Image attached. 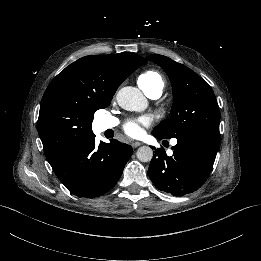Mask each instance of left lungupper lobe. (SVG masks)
<instances>
[{
	"label": "left lung upper lobe",
	"mask_w": 261,
	"mask_h": 261,
	"mask_svg": "<svg viewBox=\"0 0 261 261\" xmlns=\"http://www.w3.org/2000/svg\"><path fill=\"white\" fill-rule=\"evenodd\" d=\"M168 75L173 88L172 116L162 121L152 134L162 138H180L185 133L203 130L219 135L220 111L208 83L188 67L174 60L153 54L146 57Z\"/></svg>",
	"instance_id": "1"
}]
</instances>
